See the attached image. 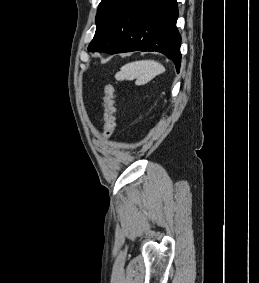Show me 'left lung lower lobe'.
<instances>
[{
	"label": "left lung lower lobe",
	"mask_w": 259,
	"mask_h": 283,
	"mask_svg": "<svg viewBox=\"0 0 259 283\" xmlns=\"http://www.w3.org/2000/svg\"><path fill=\"white\" fill-rule=\"evenodd\" d=\"M176 0H125L102 37L90 44V52L110 54L157 51L181 63V36L176 28Z\"/></svg>",
	"instance_id": "obj_1"
}]
</instances>
